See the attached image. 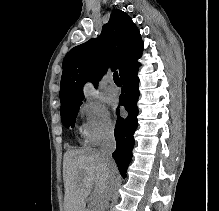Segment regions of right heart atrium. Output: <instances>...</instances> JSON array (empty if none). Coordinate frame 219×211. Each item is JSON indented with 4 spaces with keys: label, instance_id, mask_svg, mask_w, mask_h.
I'll list each match as a JSON object with an SVG mask.
<instances>
[{
    "label": "right heart atrium",
    "instance_id": "right-heart-atrium-1",
    "mask_svg": "<svg viewBox=\"0 0 219 211\" xmlns=\"http://www.w3.org/2000/svg\"><path fill=\"white\" fill-rule=\"evenodd\" d=\"M83 118L82 134L89 145H98L113 135V123L105 105L95 99L85 101L79 108Z\"/></svg>",
    "mask_w": 219,
    "mask_h": 211
}]
</instances>
